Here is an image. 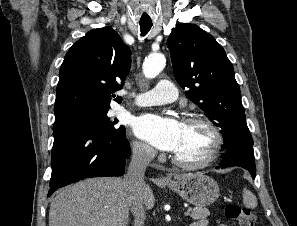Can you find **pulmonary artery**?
I'll return each mask as SVG.
<instances>
[{
	"instance_id": "pulmonary-artery-1",
	"label": "pulmonary artery",
	"mask_w": 297,
	"mask_h": 226,
	"mask_svg": "<svg viewBox=\"0 0 297 226\" xmlns=\"http://www.w3.org/2000/svg\"><path fill=\"white\" fill-rule=\"evenodd\" d=\"M178 97V91L169 80H160L154 89L138 94L135 104L140 107L163 105L174 102Z\"/></svg>"
}]
</instances>
